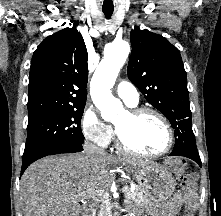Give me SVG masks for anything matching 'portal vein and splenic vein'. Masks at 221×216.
Masks as SVG:
<instances>
[{
  "mask_svg": "<svg viewBox=\"0 0 221 216\" xmlns=\"http://www.w3.org/2000/svg\"><path fill=\"white\" fill-rule=\"evenodd\" d=\"M122 190H123V192H127L130 189L128 186H124ZM131 192H133V191H131ZM79 197L81 200L92 198L97 201H103L104 198L108 197V193L104 190H96V191L95 190H88L86 193L79 195Z\"/></svg>",
  "mask_w": 221,
  "mask_h": 216,
  "instance_id": "18ae733b",
  "label": "portal vein and splenic vein"
}]
</instances>
